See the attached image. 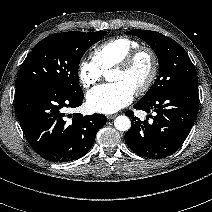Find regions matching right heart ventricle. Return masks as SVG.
Listing matches in <instances>:
<instances>
[{
    "label": "right heart ventricle",
    "mask_w": 212,
    "mask_h": 212,
    "mask_svg": "<svg viewBox=\"0 0 212 212\" xmlns=\"http://www.w3.org/2000/svg\"><path fill=\"white\" fill-rule=\"evenodd\" d=\"M137 47H139V43L131 38L115 37L95 47L93 59L102 71H106L122 61Z\"/></svg>",
    "instance_id": "e07e8e85"
}]
</instances>
